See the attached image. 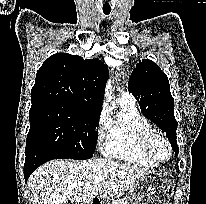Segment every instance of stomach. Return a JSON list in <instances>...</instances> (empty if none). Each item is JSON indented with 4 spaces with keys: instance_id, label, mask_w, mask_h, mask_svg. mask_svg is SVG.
Instances as JSON below:
<instances>
[{
    "instance_id": "obj_1",
    "label": "stomach",
    "mask_w": 206,
    "mask_h": 204,
    "mask_svg": "<svg viewBox=\"0 0 206 204\" xmlns=\"http://www.w3.org/2000/svg\"><path fill=\"white\" fill-rule=\"evenodd\" d=\"M175 180L168 172L150 171L136 180L123 204H170Z\"/></svg>"
}]
</instances>
